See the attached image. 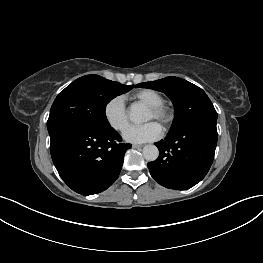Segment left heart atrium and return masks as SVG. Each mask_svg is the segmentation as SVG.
Listing matches in <instances>:
<instances>
[{"label":"left heart atrium","mask_w":263,"mask_h":263,"mask_svg":"<svg viewBox=\"0 0 263 263\" xmlns=\"http://www.w3.org/2000/svg\"><path fill=\"white\" fill-rule=\"evenodd\" d=\"M161 136L162 128L154 121L148 122L144 125L129 126L123 133L125 141L136 144L154 141Z\"/></svg>","instance_id":"obj_1"}]
</instances>
